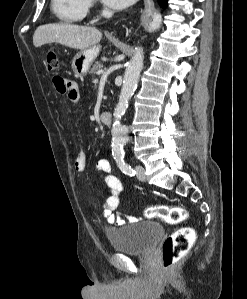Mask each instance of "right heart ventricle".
Returning <instances> with one entry per match:
<instances>
[{
	"label": "right heart ventricle",
	"instance_id": "e07e8e85",
	"mask_svg": "<svg viewBox=\"0 0 247 299\" xmlns=\"http://www.w3.org/2000/svg\"><path fill=\"white\" fill-rule=\"evenodd\" d=\"M89 0H51L55 18L66 24L81 22L87 15Z\"/></svg>",
	"mask_w": 247,
	"mask_h": 299
}]
</instances>
